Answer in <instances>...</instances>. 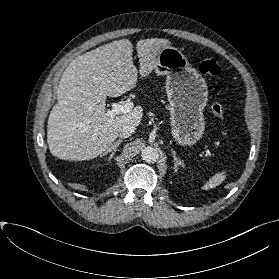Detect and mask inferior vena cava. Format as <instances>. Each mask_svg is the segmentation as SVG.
<instances>
[{"label": "inferior vena cava", "instance_id": "inferior-vena-cava-1", "mask_svg": "<svg viewBox=\"0 0 279 279\" xmlns=\"http://www.w3.org/2000/svg\"><path fill=\"white\" fill-rule=\"evenodd\" d=\"M135 130L136 128L134 126L126 125L119 131V137L128 138L135 132Z\"/></svg>", "mask_w": 279, "mask_h": 279}]
</instances>
